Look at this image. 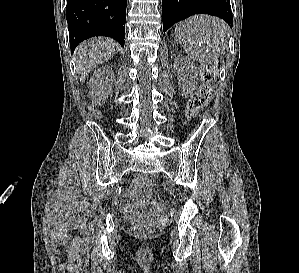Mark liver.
Listing matches in <instances>:
<instances>
[{"mask_svg": "<svg viewBox=\"0 0 299 273\" xmlns=\"http://www.w3.org/2000/svg\"><path fill=\"white\" fill-rule=\"evenodd\" d=\"M116 48L115 41L102 37L81 43L76 49V67L80 82L84 83L97 65L111 59L116 53Z\"/></svg>", "mask_w": 299, "mask_h": 273, "instance_id": "liver-1", "label": "liver"}]
</instances>
